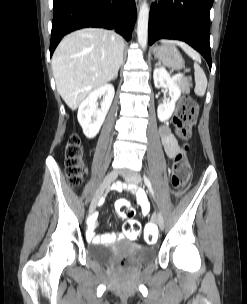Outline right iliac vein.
<instances>
[{"label": "right iliac vein", "instance_id": "right-iliac-vein-1", "mask_svg": "<svg viewBox=\"0 0 247 304\" xmlns=\"http://www.w3.org/2000/svg\"><path fill=\"white\" fill-rule=\"evenodd\" d=\"M117 176H118V172L112 171L105 177L103 183L101 184V186L99 187V189L97 190V192L95 193V195L92 199V202L90 205L91 214L95 211V209L98 205V202H99L100 198L102 197L104 191L110 187V185L116 180Z\"/></svg>", "mask_w": 247, "mask_h": 304}]
</instances>
